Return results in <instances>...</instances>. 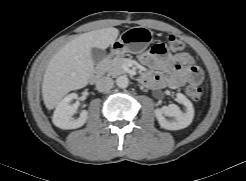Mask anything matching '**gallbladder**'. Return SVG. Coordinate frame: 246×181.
I'll list each match as a JSON object with an SVG mask.
<instances>
[{"label":"gallbladder","instance_id":"gallbladder-1","mask_svg":"<svg viewBox=\"0 0 246 181\" xmlns=\"http://www.w3.org/2000/svg\"><path fill=\"white\" fill-rule=\"evenodd\" d=\"M106 56V52L100 48H91V58L94 64H99Z\"/></svg>","mask_w":246,"mask_h":181}]
</instances>
